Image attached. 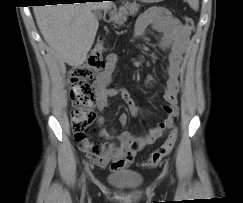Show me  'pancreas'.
Listing matches in <instances>:
<instances>
[{"label":"pancreas","instance_id":"obj_1","mask_svg":"<svg viewBox=\"0 0 243 203\" xmlns=\"http://www.w3.org/2000/svg\"><path fill=\"white\" fill-rule=\"evenodd\" d=\"M139 10V4L136 3H126L124 6L120 7L118 13L114 17V21L118 25H123L127 20V16L136 15Z\"/></svg>","mask_w":243,"mask_h":203}]
</instances>
